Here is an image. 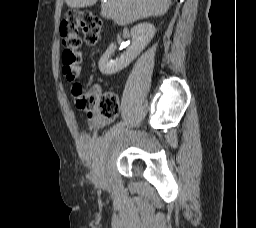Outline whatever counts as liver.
I'll return each mask as SVG.
<instances>
[{
	"label": "liver",
	"instance_id": "liver-1",
	"mask_svg": "<svg viewBox=\"0 0 256 228\" xmlns=\"http://www.w3.org/2000/svg\"><path fill=\"white\" fill-rule=\"evenodd\" d=\"M97 0H65L68 7L82 8ZM171 0H101V16L112 19L118 25H126L152 16L164 15Z\"/></svg>",
	"mask_w": 256,
	"mask_h": 228
}]
</instances>
